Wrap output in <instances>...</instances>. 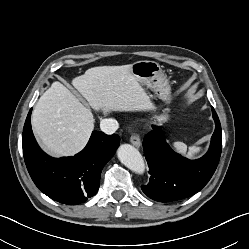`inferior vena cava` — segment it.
Segmentation results:
<instances>
[{"label": "inferior vena cava", "instance_id": "inferior-vena-cava-1", "mask_svg": "<svg viewBox=\"0 0 249 249\" xmlns=\"http://www.w3.org/2000/svg\"><path fill=\"white\" fill-rule=\"evenodd\" d=\"M118 126L119 124L115 119H103L100 122L101 131L109 135L115 133L118 129Z\"/></svg>", "mask_w": 249, "mask_h": 249}]
</instances>
